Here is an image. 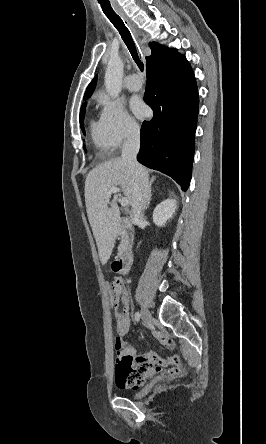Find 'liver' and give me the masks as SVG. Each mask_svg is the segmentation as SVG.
<instances>
[{
	"label": "liver",
	"mask_w": 266,
	"mask_h": 444,
	"mask_svg": "<svg viewBox=\"0 0 266 444\" xmlns=\"http://www.w3.org/2000/svg\"><path fill=\"white\" fill-rule=\"evenodd\" d=\"M143 171L149 181V172ZM155 180L152 177L150 184ZM135 179L129 164L122 158H114L92 169L85 181V203L89 223L95 237L98 254L102 265H105L115 244L120 228V211L114 197L110 207L106 202L108 191L120 186L129 203H133Z\"/></svg>",
	"instance_id": "1"
}]
</instances>
